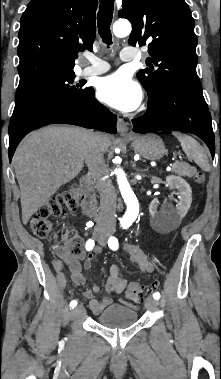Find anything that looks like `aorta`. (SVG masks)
<instances>
[{"mask_svg":"<svg viewBox=\"0 0 221 379\" xmlns=\"http://www.w3.org/2000/svg\"><path fill=\"white\" fill-rule=\"evenodd\" d=\"M132 27L128 21H118L113 25V32L116 37H125L131 33ZM117 176V183L121 192V195L127 205V210L121 219L122 226L131 225L137 218L139 213V203L135 196L130 184L127 180L126 174L121 167H117L114 170Z\"/></svg>","mask_w":221,"mask_h":379,"instance_id":"aorta-1","label":"aorta"}]
</instances>
